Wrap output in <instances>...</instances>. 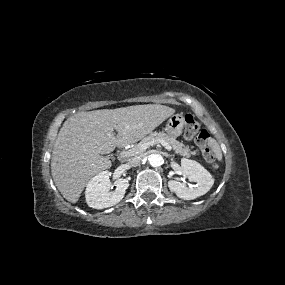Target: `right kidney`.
I'll list each match as a JSON object with an SVG mask.
<instances>
[{"label": "right kidney", "mask_w": 285, "mask_h": 285, "mask_svg": "<svg viewBox=\"0 0 285 285\" xmlns=\"http://www.w3.org/2000/svg\"><path fill=\"white\" fill-rule=\"evenodd\" d=\"M110 173L102 171L94 176L87 184L85 191L86 202L94 209L108 208L119 203L129 186L128 180L118 179L114 182V191L109 190Z\"/></svg>", "instance_id": "right-kidney-1"}]
</instances>
